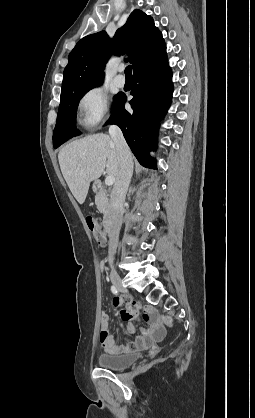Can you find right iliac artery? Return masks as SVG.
Here are the masks:
<instances>
[{
    "mask_svg": "<svg viewBox=\"0 0 255 418\" xmlns=\"http://www.w3.org/2000/svg\"><path fill=\"white\" fill-rule=\"evenodd\" d=\"M111 291L113 294L118 295V289L115 286H111Z\"/></svg>",
    "mask_w": 255,
    "mask_h": 418,
    "instance_id": "obj_1",
    "label": "right iliac artery"
}]
</instances>
